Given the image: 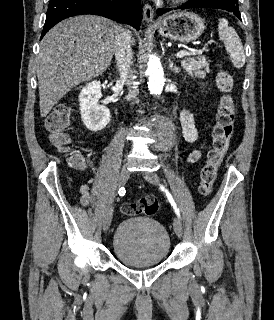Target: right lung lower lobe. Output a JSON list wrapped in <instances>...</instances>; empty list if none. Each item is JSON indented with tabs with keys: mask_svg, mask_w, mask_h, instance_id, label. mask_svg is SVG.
I'll return each instance as SVG.
<instances>
[{
	"mask_svg": "<svg viewBox=\"0 0 274 320\" xmlns=\"http://www.w3.org/2000/svg\"><path fill=\"white\" fill-rule=\"evenodd\" d=\"M141 12L139 0H50L41 38L58 22L81 14L104 16L139 30Z\"/></svg>",
	"mask_w": 274,
	"mask_h": 320,
	"instance_id": "1",
	"label": "right lung lower lobe"
}]
</instances>
